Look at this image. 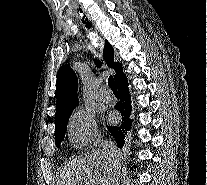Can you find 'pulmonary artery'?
Segmentation results:
<instances>
[{
	"label": "pulmonary artery",
	"mask_w": 207,
	"mask_h": 185,
	"mask_svg": "<svg viewBox=\"0 0 207 185\" xmlns=\"http://www.w3.org/2000/svg\"><path fill=\"white\" fill-rule=\"evenodd\" d=\"M98 99L104 103H110L113 101V95L111 92L100 89L98 92Z\"/></svg>",
	"instance_id": "e3ab8cb5"
}]
</instances>
